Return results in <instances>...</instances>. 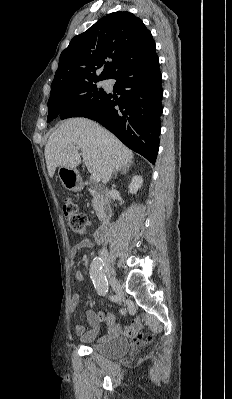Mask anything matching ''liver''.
<instances>
[{
  "label": "liver",
  "mask_w": 232,
  "mask_h": 399,
  "mask_svg": "<svg viewBox=\"0 0 232 399\" xmlns=\"http://www.w3.org/2000/svg\"><path fill=\"white\" fill-rule=\"evenodd\" d=\"M44 152L50 178H53L59 166L75 170L82 156L89 174L97 172L103 184L111 180L114 170L132 164L133 160L131 150L120 140L86 118H70L60 122L50 134Z\"/></svg>",
  "instance_id": "liver-1"
}]
</instances>
